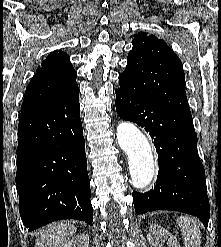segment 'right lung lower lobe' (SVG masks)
I'll list each match as a JSON object with an SVG mask.
<instances>
[{
    "mask_svg": "<svg viewBox=\"0 0 221 247\" xmlns=\"http://www.w3.org/2000/svg\"><path fill=\"white\" fill-rule=\"evenodd\" d=\"M16 186L20 216L29 231L62 219L92 225L79 89L21 111Z\"/></svg>",
    "mask_w": 221,
    "mask_h": 247,
    "instance_id": "obj_1",
    "label": "right lung lower lobe"
}]
</instances>
